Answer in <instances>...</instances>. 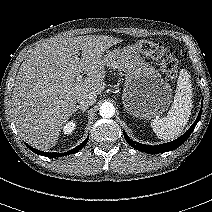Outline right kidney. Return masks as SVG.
Segmentation results:
<instances>
[{"mask_svg": "<svg viewBox=\"0 0 212 212\" xmlns=\"http://www.w3.org/2000/svg\"><path fill=\"white\" fill-rule=\"evenodd\" d=\"M75 127H76V124L74 121L68 122L63 127V133L69 135L74 131Z\"/></svg>", "mask_w": 212, "mask_h": 212, "instance_id": "right-kidney-1", "label": "right kidney"}]
</instances>
